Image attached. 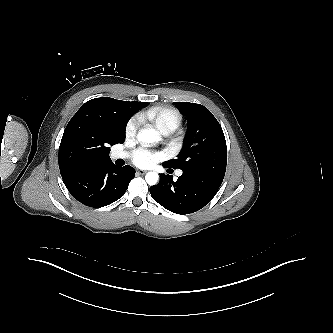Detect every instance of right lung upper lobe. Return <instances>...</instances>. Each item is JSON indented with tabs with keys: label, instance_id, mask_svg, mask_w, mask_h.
Instances as JSON below:
<instances>
[{
	"label": "right lung upper lobe",
	"instance_id": "obj_1",
	"mask_svg": "<svg viewBox=\"0 0 333 333\" xmlns=\"http://www.w3.org/2000/svg\"><path fill=\"white\" fill-rule=\"evenodd\" d=\"M147 102H128L109 97L89 100L67 124L59 147V169L67 180L80 168L111 161V145L125 140V128L120 122L147 106Z\"/></svg>",
	"mask_w": 333,
	"mask_h": 333
}]
</instances>
